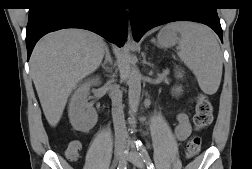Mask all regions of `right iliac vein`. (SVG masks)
Returning <instances> with one entry per match:
<instances>
[{"label":"right iliac vein","instance_id":"obj_1","mask_svg":"<svg viewBox=\"0 0 252 169\" xmlns=\"http://www.w3.org/2000/svg\"><path fill=\"white\" fill-rule=\"evenodd\" d=\"M124 144H117L115 146V159L116 161H120L123 157V152H124Z\"/></svg>","mask_w":252,"mask_h":169}]
</instances>
